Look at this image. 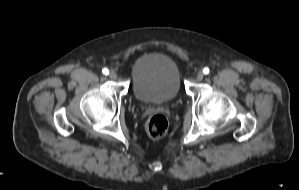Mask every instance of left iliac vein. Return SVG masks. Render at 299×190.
Listing matches in <instances>:
<instances>
[{"mask_svg":"<svg viewBox=\"0 0 299 190\" xmlns=\"http://www.w3.org/2000/svg\"><path fill=\"white\" fill-rule=\"evenodd\" d=\"M196 78L198 81H201L204 78V73L202 71H199L196 75Z\"/></svg>","mask_w":299,"mask_h":190,"instance_id":"left-iliac-vein-1","label":"left iliac vein"}]
</instances>
